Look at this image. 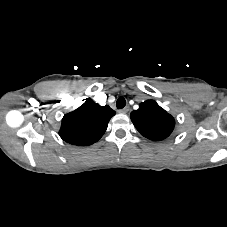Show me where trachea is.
<instances>
[{"label": "trachea", "mask_w": 227, "mask_h": 227, "mask_svg": "<svg viewBox=\"0 0 227 227\" xmlns=\"http://www.w3.org/2000/svg\"><path fill=\"white\" fill-rule=\"evenodd\" d=\"M125 105H126V100H125V98L119 97L118 100H117V102H116L117 108H118V109H122V108L125 107Z\"/></svg>", "instance_id": "trachea-1"}]
</instances>
